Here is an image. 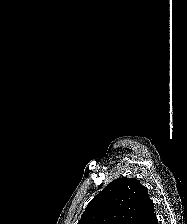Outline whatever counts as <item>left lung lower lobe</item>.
<instances>
[{"instance_id":"0a47b994","label":"left lung lower lobe","mask_w":187,"mask_h":224,"mask_svg":"<svg viewBox=\"0 0 187 224\" xmlns=\"http://www.w3.org/2000/svg\"><path fill=\"white\" fill-rule=\"evenodd\" d=\"M153 224H158V220L156 219L155 222Z\"/></svg>"}]
</instances>
